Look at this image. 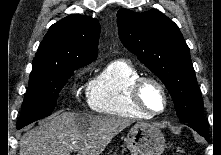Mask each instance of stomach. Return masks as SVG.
Instances as JSON below:
<instances>
[{
  "mask_svg": "<svg viewBox=\"0 0 221 155\" xmlns=\"http://www.w3.org/2000/svg\"><path fill=\"white\" fill-rule=\"evenodd\" d=\"M131 155H161L166 147L165 138L154 125L135 124L125 139Z\"/></svg>",
  "mask_w": 221,
  "mask_h": 155,
  "instance_id": "obj_1",
  "label": "stomach"
}]
</instances>
